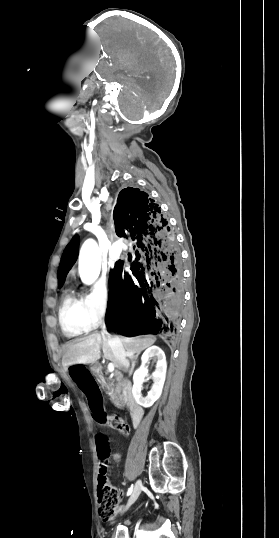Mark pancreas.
<instances>
[{"label":"pancreas","instance_id":"pancreas-1","mask_svg":"<svg viewBox=\"0 0 279 538\" xmlns=\"http://www.w3.org/2000/svg\"><path fill=\"white\" fill-rule=\"evenodd\" d=\"M108 396H110V400H112L113 404H118L120 394L117 392V390H114V388H106Z\"/></svg>","mask_w":279,"mask_h":538}]
</instances>
